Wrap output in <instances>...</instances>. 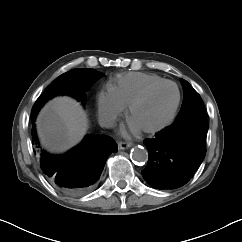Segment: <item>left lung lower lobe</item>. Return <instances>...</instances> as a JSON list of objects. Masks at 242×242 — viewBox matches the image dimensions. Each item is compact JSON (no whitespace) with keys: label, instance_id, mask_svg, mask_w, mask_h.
<instances>
[{"label":"left lung lower lobe","instance_id":"left-lung-lower-lobe-1","mask_svg":"<svg viewBox=\"0 0 242 242\" xmlns=\"http://www.w3.org/2000/svg\"><path fill=\"white\" fill-rule=\"evenodd\" d=\"M207 131L175 134L161 130L153 138L145 139L149 159L141 173L147 183L156 189L185 185L205 157Z\"/></svg>","mask_w":242,"mask_h":242}]
</instances>
